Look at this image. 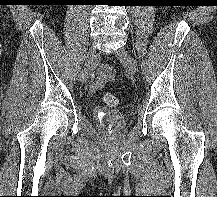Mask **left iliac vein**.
Returning a JSON list of instances; mask_svg holds the SVG:
<instances>
[{
	"label": "left iliac vein",
	"instance_id": "4c4485c4",
	"mask_svg": "<svg viewBox=\"0 0 217 197\" xmlns=\"http://www.w3.org/2000/svg\"><path fill=\"white\" fill-rule=\"evenodd\" d=\"M118 59L126 66L130 74H135L137 71L136 63L131 55L125 50L120 49L116 52Z\"/></svg>",
	"mask_w": 217,
	"mask_h": 197
}]
</instances>
